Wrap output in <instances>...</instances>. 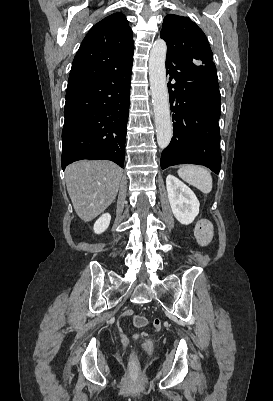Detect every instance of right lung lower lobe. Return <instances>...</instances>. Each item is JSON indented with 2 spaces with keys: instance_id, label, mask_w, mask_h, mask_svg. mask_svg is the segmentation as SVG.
<instances>
[{
  "instance_id": "right-lung-lower-lobe-1",
  "label": "right lung lower lobe",
  "mask_w": 273,
  "mask_h": 401,
  "mask_svg": "<svg viewBox=\"0 0 273 401\" xmlns=\"http://www.w3.org/2000/svg\"><path fill=\"white\" fill-rule=\"evenodd\" d=\"M132 61L66 93L62 168L81 159L124 165Z\"/></svg>"
}]
</instances>
